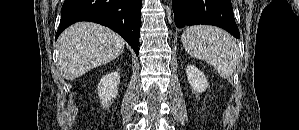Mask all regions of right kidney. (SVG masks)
Listing matches in <instances>:
<instances>
[{
	"label": "right kidney",
	"mask_w": 299,
	"mask_h": 130,
	"mask_svg": "<svg viewBox=\"0 0 299 130\" xmlns=\"http://www.w3.org/2000/svg\"><path fill=\"white\" fill-rule=\"evenodd\" d=\"M120 75L118 72H111L103 76L97 86L98 95L103 107H108L111 99L118 94Z\"/></svg>",
	"instance_id": "obj_1"
}]
</instances>
